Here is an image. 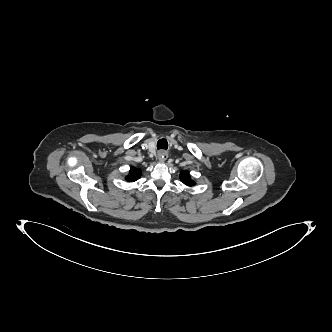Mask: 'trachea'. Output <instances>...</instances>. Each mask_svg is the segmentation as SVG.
Wrapping results in <instances>:
<instances>
[{
  "label": "trachea",
  "mask_w": 332,
  "mask_h": 332,
  "mask_svg": "<svg viewBox=\"0 0 332 332\" xmlns=\"http://www.w3.org/2000/svg\"><path fill=\"white\" fill-rule=\"evenodd\" d=\"M157 148H158V149H164V150H167V148H168V142H167V140L164 139V138L158 140V142H157Z\"/></svg>",
  "instance_id": "3493384b"
}]
</instances>
